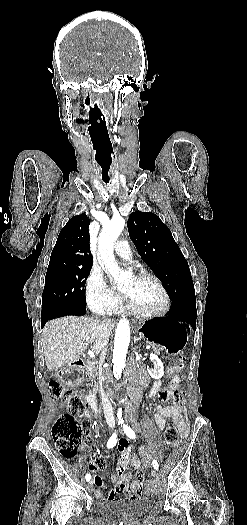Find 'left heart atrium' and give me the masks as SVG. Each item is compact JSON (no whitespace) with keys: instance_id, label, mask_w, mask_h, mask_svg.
<instances>
[{"instance_id":"obj_1","label":"left heart atrium","mask_w":247,"mask_h":525,"mask_svg":"<svg viewBox=\"0 0 247 525\" xmlns=\"http://www.w3.org/2000/svg\"><path fill=\"white\" fill-rule=\"evenodd\" d=\"M127 295L130 296V297H133V291L127 292Z\"/></svg>"}]
</instances>
